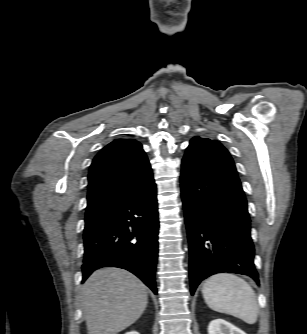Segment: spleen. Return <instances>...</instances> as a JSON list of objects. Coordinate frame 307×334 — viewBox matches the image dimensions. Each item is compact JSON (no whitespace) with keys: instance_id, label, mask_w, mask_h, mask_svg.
<instances>
[{"instance_id":"obj_1","label":"spleen","mask_w":307,"mask_h":334,"mask_svg":"<svg viewBox=\"0 0 307 334\" xmlns=\"http://www.w3.org/2000/svg\"><path fill=\"white\" fill-rule=\"evenodd\" d=\"M202 294L212 310L233 315L248 324L256 323L259 312L256 295L244 279L229 273L215 274L203 283Z\"/></svg>"}]
</instances>
